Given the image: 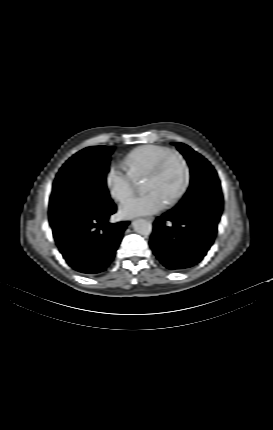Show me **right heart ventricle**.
I'll list each match as a JSON object with an SVG mask.
<instances>
[{
	"label": "right heart ventricle",
	"mask_w": 273,
	"mask_h": 430,
	"mask_svg": "<svg viewBox=\"0 0 273 430\" xmlns=\"http://www.w3.org/2000/svg\"><path fill=\"white\" fill-rule=\"evenodd\" d=\"M170 151V148L161 145H142L130 151L124 157L123 164L135 179H141L146 177Z\"/></svg>",
	"instance_id": "right-heart-ventricle-1"
}]
</instances>
